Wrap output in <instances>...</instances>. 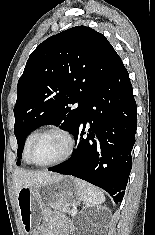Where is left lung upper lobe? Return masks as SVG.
Listing matches in <instances>:
<instances>
[{"label":"left lung upper lobe","mask_w":155,"mask_h":235,"mask_svg":"<svg viewBox=\"0 0 155 235\" xmlns=\"http://www.w3.org/2000/svg\"><path fill=\"white\" fill-rule=\"evenodd\" d=\"M119 59L104 35L86 26L43 41L30 54L17 85V157H21L26 137L41 125H60L73 133L86 104ZM75 103L77 108L69 106Z\"/></svg>","instance_id":"left-lung-upper-lobe-1"}]
</instances>
